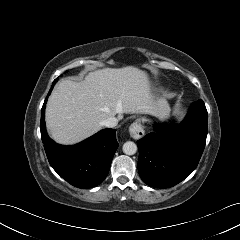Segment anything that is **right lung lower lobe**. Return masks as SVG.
<instances>
[{
	"mask_svg": "<svg viewBox=\"0 0 240 240\" xmlns=\"http://www.w3.org/2000/svg\"><path fill=\"white\" fill-rule=\"evenodd\" d=\"M47 98L48 96L41 110L40 130L50 165L62 178L75 187L86 189L97 186L106 178L114 153L119 146L116 141V130H101L73 146L56 144L48 136L45 128Z\"/></svg>",
	"mask_w": 240,
	"mask_h": 240,
	"instance_id": "98d812e1",
	"label": "right lung lower lobe"
}]
</instances>
